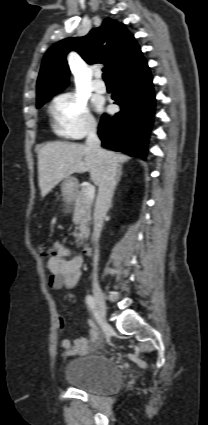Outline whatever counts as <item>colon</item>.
<instances>
[{
	"instance_id": "1",
	"label": "colon",
	"mask_w": 208,
	"mask_h": 425,
	"mask_svg": "<svg viewBox=\"0 0 208 425\" xmlns=\"http://www.w3.org/2000/svg\"><path fill=\"white\" fill-rule=\"evenodd\" d=\"M39 252L42 257H51L54 255V249L46 244L39 246Z\"/></svg>"
}]
</instances>
